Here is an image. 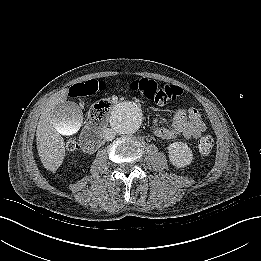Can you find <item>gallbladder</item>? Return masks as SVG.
Masks as SVG:
<instances>
[{"mask_svg": "<svg viewBox=\"0 0 261 261\" xmlns=\"http://www.w3.org/2000/svg\"><path fill=\"white\" fill-rule=\"evenodd\" d=\"M50 121L59 133L71 135L81 127L83 114L76 103L65 101L52 109Z\"/></svg>", "mask_w": 261, "mask_h": 261, "instance_id": "1", "label": "gallbladder"}]
</instances>
